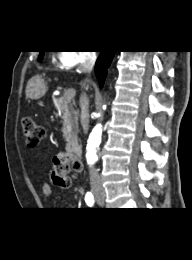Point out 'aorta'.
I'll return each mask as SVG.
<instances>
[{
  "instance_id": "762f6f07",
  "label": "aorta",
  "mask_w": 192,
  "mask_h": 260,
  "mask_svg": "<svg viewBox=\"0 0 192 260\" xmlns=\"http://www.w3.org/2000/svg\"><path fill=\"white\" fill-rule=\"evenodd\" d=\"M106 109V105H103V110ZM98 117H100V113H98ZM102 136V125L98 123L92 130L89 135L88 143L86 147V160L88 165H93L97 159V149L101 142Z\"/></svg>"
}]
</instances>
